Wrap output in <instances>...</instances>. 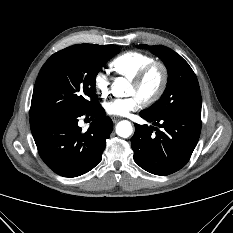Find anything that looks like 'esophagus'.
Listing matches in <instances>:
<instances>
[{
    "label": "esophagus",
    "mask_w": 233,
    "mask_h": 233,
    "mask_svg": "<svg viewBox=\"0 0 233 233\" xmlns=\"http://www.w3.org/2000/svg\"><path fill=\"white\" fill-rule=\"evenodd\" d=\"M111 118L114 123H117L120 120V117L117 116H112Z\"/></svg>",
    "instance_id": "obj_1"
}]
</instances>
